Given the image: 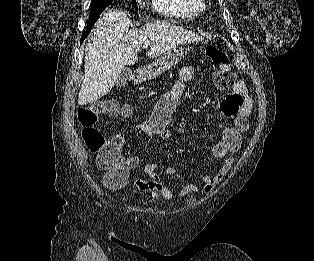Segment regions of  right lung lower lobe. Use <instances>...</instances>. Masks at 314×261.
Instances as JSON below:
<instances>
[{
  "mask_svg": "<svg viewBox=\"0 0 314 261\" xmlns=\"http://www.w3.org/2000/svg\"><path fill=\"white\" fill-rule=\"evenodd\" d=\"M93 25H88L86 31L82 33L81 42L87 37V35L90 33L91 28Z\"/></svg>",
  "mask_w": 314,
  "mask_h": 261,
  "instance_id": "98d812e1",
  "label": "right lung lower lobe"
}]
</instances>
